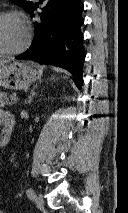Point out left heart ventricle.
<instances>
[{
  "instance_id": "b2bd125f",
  "label": "left heart ventricle",
  "mask_w": 128,
  "mask_h": 213,
  "mask_svg": "<svg viewBox=\"0 0 128 213\" xmlns=\"http://www.w3.org/2000/svg\"><path fill=\"white\" fill-rule=\"evenodd\" d=\"M25 39V28L23 23L14 17L0 19V48L15 49Z\"/></svg>"
}]
</instances>
